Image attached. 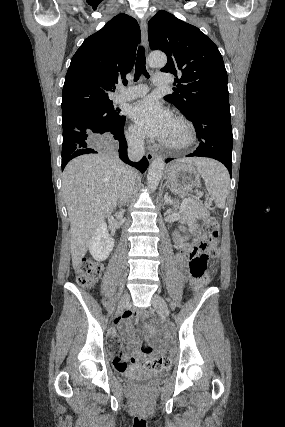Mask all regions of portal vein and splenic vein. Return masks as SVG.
<instances>
[{
    "instance_id": "1",
    "label": "portal vein and splenic vein",
    "mask_w": 285,
    "mask_h": 427,
    "mask_svg": "<svg viewBox=\"0 0 285 427\" xmlns=\"http://www.w3.org/2000/svg\"><path fill=\"white\" fill-rule=\"evenodd\" d=\"M193 200V198H188V199H186L185 201L186 202H189V201H192Z\"/></svg>"
}]
</instances>
